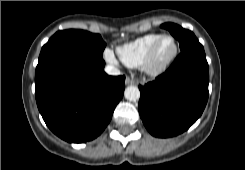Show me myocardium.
Masks as SVG:
<instances>
[{"mask_svg":"<svg viewBox=\"0 0 245 170\" xmlns=\"http://www.w3.org/2000/svg\"><path fill=\"white\" fill-rule=\"evenodd\" d=\"M164 39H169L172 43V51L171 53L162 61L156 62L155 56L158 50L160 43ZM178 53V46L175 38L172 35L165 34L160 35L150 46L148 51L146 52L142 62H141V70L150 77H156L163 74L173 63Z\"/></svg>","mask_w":245,"mask_h":170,"instance_id":"1","label":"myocardium"}]
</instances>
